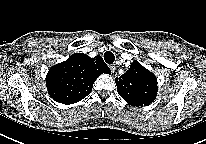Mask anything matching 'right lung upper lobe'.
Instances as JSON below:
<instances>
[{"label":"right lung upper lobe","mask_w":206,"mask_h":144,"mask_svg":"<svg viewBox=\"0 0 206 144\" xmlns=\"http://www.w3.org/2000/svg\"><path fill=\"white\" fill-rule=\"evenodd\" d=\"M103 73L111 71L101 56L90 58L74 53L49 70L46 76L49 95L63 104L76 103L91 93L96 78Z\"/></svg>","instance_id":"1"}]
</instances>
